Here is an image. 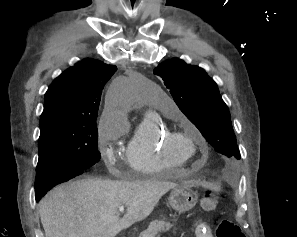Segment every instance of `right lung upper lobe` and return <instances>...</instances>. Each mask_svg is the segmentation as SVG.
Segmentation results:
<instances>
[{
	"instance_id": "obj_1",
	"label": "right lung upper lobe",
	"mask_w": 297,
	"mask_h": 237,
	"mask_svg": "<svg viewBox=\"0 0 297 237\" xmlns=\"http://www.w3.org/2000/svg\"><path fill=\"white\" fill-rule=\"evenodd\" d=\"M117 67L84 59L59 75L45 93L40 124L60 118H97L104 85Z\"/></svg>"
}]
</instances>
